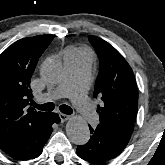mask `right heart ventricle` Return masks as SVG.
<instances>
[{
  "label": "right heart ventricle",
  "instance_id": "obj_1",
  "mask_svg": "<svg viewBox=\"0 0 165 165\" xmlns=\"http://www.w3.org/2000/svg\"><path fill=\"white\" fill-rule=\"evenodd\" d=\"M82 55H87L86 51L81 48H72L68 49L65 52V56H82Z\"/></svg>",
  "mask_w": 165,
  "mask_h": 165
}]
</instances>
